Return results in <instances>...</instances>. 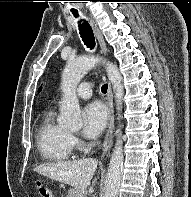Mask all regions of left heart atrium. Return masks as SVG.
I'll return each instance as SVG.
<instances>
[{"label":"left heart atrium","instance_id":"left-heart-atrium-1","mask_svg":"<svg viewBox=\"0 0 191 197\" xmlns=\"http://www.w3.org/2000/svg\"><path fill=\"white\" fill-rule=\"evenodd\" d=\"M107 109L98 101L88 104L82 112L83 133L89 138L97 137L107 123Z\"/></svg>","mask_w":191,"mask_h":197}]
</instances>
